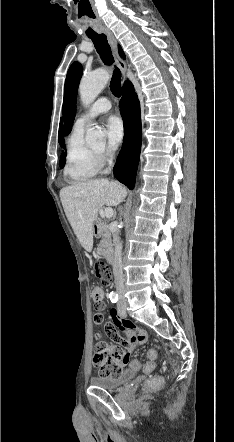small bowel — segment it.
Listing matches in <instances>:
<instances>
[{
	"label": "small bowel",
	"mask_w": 234,
	"mask_h": 442,
	"mask_svg": "<svg viewBox=\"0 0 234 442\" xmlns=\"http://www.w3.org/2000/svg\"><path fill=\"white\" fill-rule=\"evenodd\" d=\"M110 316L112 319L107 320L102 334L105 337H111L110 341L112 343H117L118 346L125 347L124 350L129 349L133 351L137 345H142L146 342V333L136 329L133 324L126 322L125 319H120L115 309L110 310ZM93 320L95 325L100 327L102 325L103 315L97 313L94 315ZM116 328H120L124 336L120 337L119 330ZM98 331H101V328H98Z\"/></svg>",
	"instance_id": "obj_1"
}]
</instances>
